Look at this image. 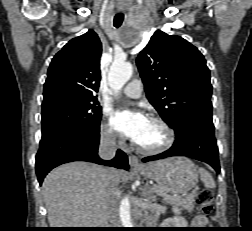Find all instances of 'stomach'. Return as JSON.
I'll list each match as a JSON object with an SVG mask.
<instances>
[{"mask_svg":"<svg viewBox=\"0 0 252 231\" xmlns=\"http://www.w3.org/2000/svg\"><path fill=\"white\" fill-rule=\"evenodd\" d=\"M146 178L157 182L160 193L183 194L198 182L195 165L186 157H172L151 162L137 169Z\"/></svg>","mask_w":252,"mask_h":231,"instance_id":"stomach-1","label":"stomach"}]
</instances>
